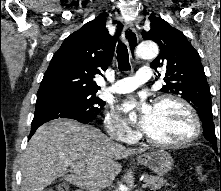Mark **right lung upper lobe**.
I'll return each instance as SVG.
<instances>
[{
    "label": "right lung upper lobe",
    "mask_w": 221,
    "mask_h": 191,
    "mask_svg": "<svg viewBox=\"0 0 221 191\" xmlns=\"http://www.w3.org/2000/svg\"><path fill=\"white\" fill-rule=\"evenodd\" d=\"M113 23H118L115 36L109 35L104 15L97 16L68 36L53 55L37 98H55L75 92L96 94L100 87L95 82V75L108 68L123 26L117 21Z\"/></svg>",
    "instance_id": "right-lung-upper-lobe-1"
}]
</instances>
